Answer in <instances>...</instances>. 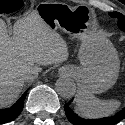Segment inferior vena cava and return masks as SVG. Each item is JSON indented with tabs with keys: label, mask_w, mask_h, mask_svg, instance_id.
Masks as SVG:
<instances>
[{
	"label": "inferior vena cava",
	"mask_w": 125,
	"mask_h": 125,
	"mask_svg": "<svg viewBox=\"0 0 125 125\" xmlns=\"http://www.w3.org/2000/svg\"><path fill=\"white\" fill-rule=\"evenodd\" d=\"M38 77V71H35V70H30L26 73L23 74V80L25 81H31V80H34Z\"/></svg>",
	"instance_id": "inferior-vena-cava-1"
}]
</instances>
